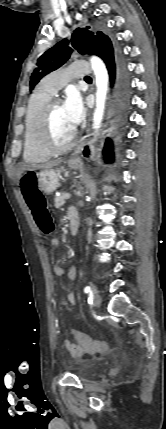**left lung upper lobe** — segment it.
<instances>
[{
    "label": "left lung upper lobe",
    "instance_id": "obj_1",
    "mask_svg": "<svg viewBox=\"0 0 166 429\" xmlns=\"http://www.w3.org/2000/svg\"><path fill=\"white\" fill-rule=\"evenodd\" d=\"M89 28L85 26L75 29L70 41L64 39L40 56L37 67L30 77L31 90L45 75L61 67L70 58L73 51L70 45L81 54H95L97 44L112 43L110 38L101 31L94 33Z\"/></svg>",
    "mask_w": 166,
    "mask_h": 429
}]
</instances>
